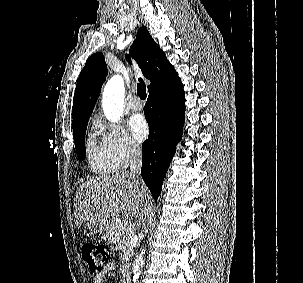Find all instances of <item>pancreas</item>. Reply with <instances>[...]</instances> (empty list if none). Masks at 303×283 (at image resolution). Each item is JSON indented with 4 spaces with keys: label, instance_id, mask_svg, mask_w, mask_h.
<instances>
[{
    "label": "pancreas",
    "instance_id": "pancreas-1",
    "mask_svg": "<svg viewBox=\"0 0 303 283\" xmlns=\"http://www.w3.org/2000/svg\"><path fill=\"white\" fill-rule=\"evenodd\" d=\"M131 237L132 234L130 229L122 223H114L107 233L108 240L113 242L116 245V248L121 252L122 264H126L132 256L133 251L130 244Z\"/></svg>",
    "mask_w": 303,
    "mask_h": 283
}]
</instances>
